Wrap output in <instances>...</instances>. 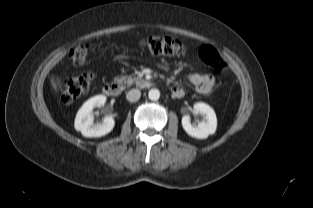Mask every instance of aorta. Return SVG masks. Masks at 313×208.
Wrapping results in <instances>:
<instances>
[{"instance_id": "762f6f07", "label": "aorta", "mask_w": 313, "mask_h": 208, "mask_svg": "<svg viewBox=\"0 0 313 208\" xmlns=\"http://www.w3.org/2000/svg\"><path fill=\"white\" fill-rule=\"evenodd\" d=\"M148 97L150 100L156 101L160 97V91L158 89H151L148 93Z\"/></svg>"}]
</instances>
